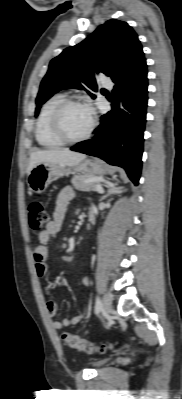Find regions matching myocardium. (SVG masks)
I'll return each instance as SVG.
<instances>
[{
  "mask_svg": "<svg viewBox=\"0 0 182 399\" xmlns=\"http://www.w3.org/2000/svg\"><path fill=\"white\" fill-rule=\"evenodd\" d=\"M73 105H79V106H84L88 109L89 114H90V125L89 128L87 129V131L81 135L80 137L77 138H71L69 137L62 126V115L64 113V111ZM96 126V120L94 118V115L91 111V109L89 108V106L83 102L80 99H75V98H70V99H64L61 103H59L57 105V107L54 109L53 113H52V117H51V128L52 131L54 133V135L62 142L65 144H76V143H80L83 142L85 140H87L91 134L93 133L94 129Z\"/></svg>",
  "mask_w": 182,
  "mask_h": 399,
  "instance_id": "1",
  "label": "myocardium"
}]
</instances>
